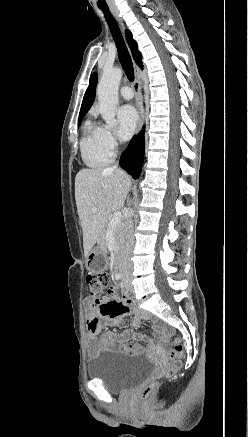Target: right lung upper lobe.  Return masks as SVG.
Masks as SVG:
<instances>
[{"instance_id":"cb5924a9","label":"right lung upper lobe","mask_w":248,"mask_h":437,"mask_svg":"<svg viewBox=\"0 0 248 437\" xmlns=\"http://www.w3.org/2000/svg\"><path fill=\"white\" fill-rule=\"evenodd\" d=\"M126 39L127 42L130 46V49L132 51V54L134 56V59L137 63V65L139 67H143L142 64V55L141 53L138 51L137 48V42L135 40H133L132 38V34L129 30H126ZM96 83H97V74L94 73L91 78H90V82H89V86L85 92L84 98H83V102L81 105V110H80V114H79V118L80 117H84V115L87 113V111L90 109L94 99H95V87H96Z\"/></svg>"}]
</instances>
